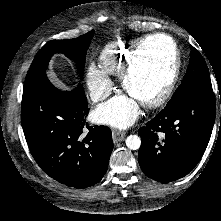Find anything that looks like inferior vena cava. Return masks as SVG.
I'll list each match as a JSON object with an SVG mask.
<instances>
[{
  "instance_id": "1",
  "label": "inferior vena cava",
  "mask_w": 221,
  "mask_h": 221,
  "mask_svg": "<svg viewBox=\"0 0 221 221\" xmlns=\"http://www.w3.org/2000/svg\"><path fill=\"white\" fill-rule=\"evenodd\" d=\"M109 96V92L101 90H93L90 92V98L93 102L104 100Z\"/></svg>"
}]
</instances>
